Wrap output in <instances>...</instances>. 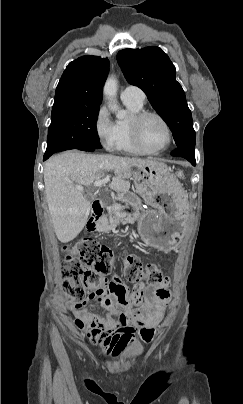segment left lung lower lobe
Returning <instances> with one entry per match:
<instances>
[{
    "instance_id": "1",
    "label": "left lung lower lobe",
    "mask_w": 243,
    "mask_h": 404,
    "mask_svg": "<svg viewBox=\"0 0 243 404\" xmlns=\"http://www.w3.org/2000/svg\"><path fill=\"white\" fill-rule=\"evenodd\" d=\"M171 155L183 157L187 159L193 166L196 165L194 149L177 147L172 151Z\"/></svg>"
}]
</instances>
